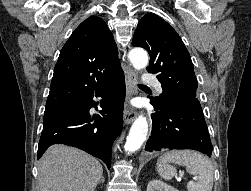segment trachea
Masks as SVG:
<instances>
[{"mask_svg":"<svg viewBox=\"0 0 251 191\" xmlns=\"http://www.w3.org/2000/svg\"><path fill=\"white\" fill-rule=\"evenodd\" d=\"M139 86H143V87L145 86L146 87V85H141V84H139Z\"/></svg>","mask_w":251,"mask_h":191,"instance_id":"3493384b","label":"trachea"}]
</instances>
